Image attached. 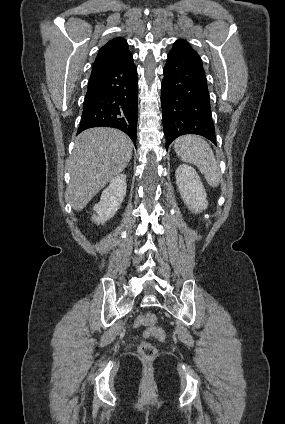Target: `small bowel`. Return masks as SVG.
I'll list each match as a JSON object with an SVG mask.
<instances>
[{"instance_id": "1", "label": "small bowel", "mask_w": 285, "mask_h": 424, "mask_svg": "<svg viewBox=\"0 0 285 424\" xmlns=\"http://www.w3.org/2000/svg\"><path fill=\"white\" fill-rule=\"evenodd\" d=\"M148 333V331H146V334ZM149 336H152V335H149Z\"/></svg>"}]
</instances>
